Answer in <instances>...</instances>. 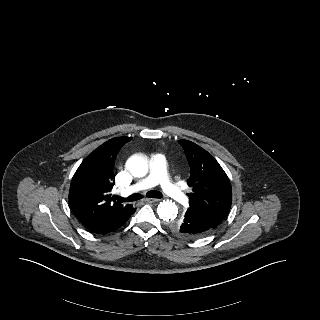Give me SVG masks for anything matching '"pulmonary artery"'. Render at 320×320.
Here are the masks:
<instances>
[{
	"label": "pulmonary artery",
	"instance_id": "e3ab8cb5",
	"mask_svg": "<svg viewBox=\"0 0 320 320\" xmlns=\"http://www.w3.org/2000/svg\"><path fill=\"white\" fill-rule=\"evenodd\" d=\"M149 164L150 174L130 186L125 192H138L159 184L168 196L180 203L186 202L187 196L167 175L165 156L163 154H154L151 156Z\"/></svg>",
	"mask_w": 320,
	"mask_h": 320
}]
</instances>
